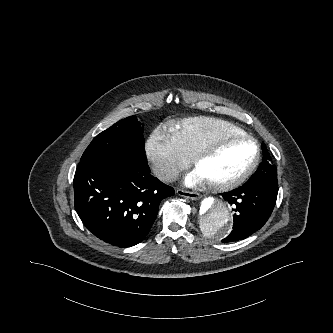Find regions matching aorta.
Returning <instances> with one entry per match:
<instances>
[{
    "label": "aorta",
    "mask_w": 333,
    "mask_h": 333,
    "mask_svg": "<svg viewBox=\"0 0 333 333\" xmlns=\"http://www.w3.org/2000/svg\"><path fill=\"white\" fill-rule=\"evenodd\" d=\"M196 219L201 231L208 236H223L230 228L231 211L222 197L212 196L200 201Z\"/></svg>",
    "instance_id": "aorta-1"
}]
</instances>
